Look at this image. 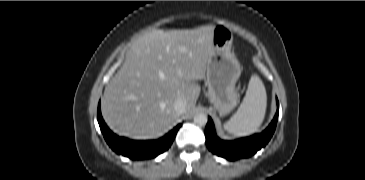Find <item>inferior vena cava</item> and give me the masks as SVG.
Listing matches in <instances>:
<instances>
[{
  "mask_svg": "<svg viewBox=\"0 0 365 180\" xmlns=\"http://www.w3.org/2000/svg\"><path fill=\"white\" fill-rule=\"evenodd\" d=\"M174 110L179 116L184 114L186 112V102L182 98H178L174 103Z\"/></svg>",
  "mask_w": 365,
  "mask_h": 180,
  "instance_id": "inferior-vena-cava-1",
  "label": "inferior vena cava"
}]
</instances>
